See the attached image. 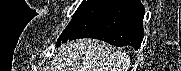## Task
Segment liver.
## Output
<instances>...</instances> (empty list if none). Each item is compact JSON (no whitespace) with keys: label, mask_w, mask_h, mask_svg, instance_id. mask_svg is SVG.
I'll return each instance as SVG.
<instances>
[{"label":"liver","mask_w":181,"mask_h":71,"mask_svg":"<svg viewBox=\"0 0 181 71\" xmlns=\"http://www.w3.org/2000/svg\"><path fill=\"white\" fill-rule=\"evenodd\" d=\"M129 56L91 39L68 42L53 58L50 71H128Z\"/></svg>","instance_id":"1"}]
</instances>
